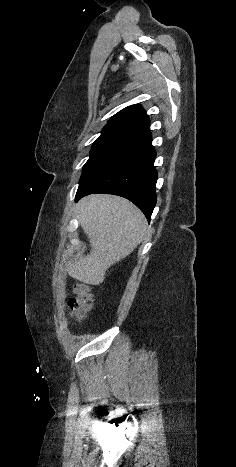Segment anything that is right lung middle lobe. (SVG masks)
I'll list each match as a JSON object with an SVG mask.
<instances>
[{"label":"right lung middle lobe","mask_w":236,"mask_h":467,"mask_svg":"<svg viewBox=\"0 0 236 467\" xmlns=\"http://www.w3.org/2000/svg\"><path fill=\"white\" fill-rule=\"evenodd\" d=\"M139 136L140 135L134 131L118 128H104L101 135L92 146L90 158L83 166L81 179L119 148Z\"/></svg>","instance_id":"right-lung-middle-lobe-1"}]
</instances>
